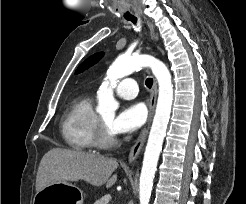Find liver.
<instances>
[{"instance_id": "liver-1", "label": "liver", "mask_w": 246, "mask_h": 204, "mask_svg": "<svg viewBox=\"0 0 246 204\" xmlns=\"http://www.w3.org/2000/svg\"><path fill=\"white\" fill-rule=\"evenodd\" d=\"M118 167L114 158L79 150L53 148L41 159L37 176L36 191L44 187L67 181H86L93 186L112 187L117 181L113 174Z\"/></svg>"}]
</instances>
